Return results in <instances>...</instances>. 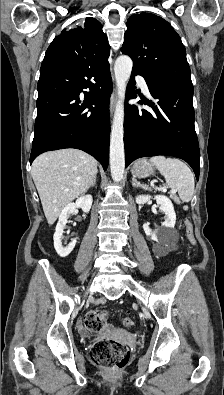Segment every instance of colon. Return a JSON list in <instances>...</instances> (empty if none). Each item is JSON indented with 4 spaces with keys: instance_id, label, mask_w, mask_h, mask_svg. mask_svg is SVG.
<instances>
[{
    "instance_id": "1",
    "label": "colon",
    "mask_w": 224,
    "mask_h": 395,
    "mask_svg": "<svg viewBox=\"0 0 224 395\" xmlns=\"http://www.w3.org/2000/svg\"><path fill=\"white\" fill-rule=\"evenodd\" d=\"M186 237L195 244V238L190 223L186 222ZM108 315L102 309H94L87 313L84 323L91 332H99L107 325ZM125 326H133L134 323L129 318L123 319ZM93 361L102 367L111 370H119L126 366L130 358V350L127 345L114 340H98L91 349Z\"/></svg>"
}]
</instances>
